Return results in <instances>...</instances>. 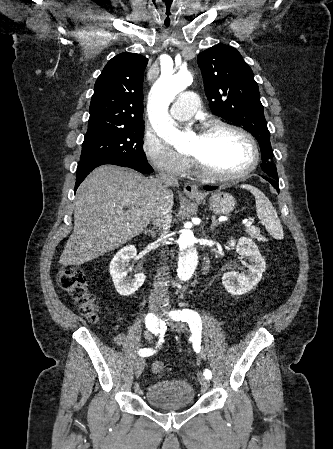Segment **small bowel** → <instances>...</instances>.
Masks as SVG:
<instances>
[{"label":"small bowel","instance_id":"obj_1","mask_svg":"<svg viewBox=\"0 0 333 449\" xmlns=\"http://www.w3.org/2000/svg\"><path fill=\"white\" fill-rule=\"evenodd\" d=\"M115 342H116L118 345H120V346L124 345L125 342H126L125 335H124V334H118V335L115 337Z\"/></svg>","mask_w":333,"mask_h":449}]
</instances>
